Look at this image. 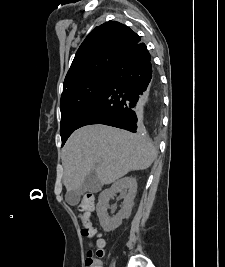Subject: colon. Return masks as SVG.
Masks as SVG:
<instances>
[{"instance_id":"colon-1","label":"colon","mask_w":225,"mask_h":267,"mask_svg":"<svg viewBox=\"0 0 225 267\" xmlns=\"http://www.w3.org/2000/svg\"><path fill=\"white\" fill-rule=\"evenodd\" d=\"M95 200L92 195H87L78 205L80 219L83 222L81 234L84 238L92 240L97 230L90 221V212L94 209ZM104 243L101 239L97 240L96 249L87 253L85 267H102L101 258L104 255Z\"/></svg>"}]
</instances>
